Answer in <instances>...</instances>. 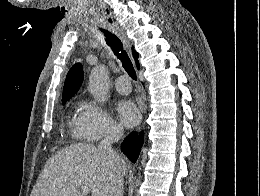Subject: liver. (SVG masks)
Segmentation results:
<instances>
[{
	"label": "liver",
	"mask_w": 260,
	"mask_h": 196,
	"mask_svg": "<svg viewBox=\"0 0 260 196\" xmlns=\"http://www.w3.org/2000/svg\"><path fill=\"white\" fill-rule=\"evenodd\" d=\"M118 172L113 154H104L93 144H74L56 152L46 162L30 196H81L79 186H88L91 196H109Z\"/></svg>",
	"instance_id": "6515ba94"
}]
</instances>
